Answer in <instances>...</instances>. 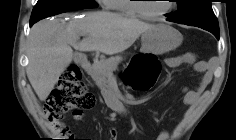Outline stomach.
Segmentation results:
<instances>
[{"instance_id": "stomach-1", "label": "stomach", "mask_w": 236, "mask_h": 140, "mask_svg": "<svg viewBox=\"0 0 236 140\" xmlns=\"http://www.w3.org/2000/svg\"><path fill=\"white\" fill-rule=\"evenodd\" d=\"M142 54L161 55L175 50L183 41L181 33L172 26L159 23L142 34Z\"/></svg>"}]
</instances>
